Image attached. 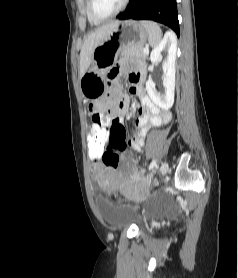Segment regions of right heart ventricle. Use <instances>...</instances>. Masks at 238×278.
<instances>
[{
    "label": "right heart ventricle",
    "instance_id": "1",
    "mask_svg": "<svg viewBox=\"0 0 238 278\" xmlns=\"http://www.w3.org/2000/svg\"><path fill=\"white\" fill-rule=\"evenodd\" d=\"M85 10H86V15H87L88 21H89L91 24H93V25L97 24L98 22L95 21L94 19H92L91 16L89 15V12H88V0H86Z\"/></svg>",
    "mask_w": 238,
    "mask_h": 278
}]
</instances>
